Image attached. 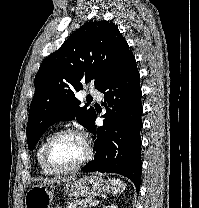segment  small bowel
Listing matches in <instances>:
<instances>
[{
  "label": "small bowel",
  "mask_w": 199,
  "mask_h": 208,
  "mask_svg": "<svg viewBox=\"0 0 199 208\" xmlns=\"http://www.w3.org/2000/svg\"><path fill=\"white\" fill-rule=\"evenodd\" d=\"M54 208H62L61 206H55Z\"/></svg>",
  "instance_id": "1"
}]
</instances>
